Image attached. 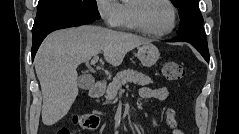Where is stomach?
Here are the masks:
<instances>
[{"label":"stomach","instance_id":"0dacf381","mask_svg":"<svg viewBox=\"0 0 239 134\" xmlns=\"http://www.w3.org/2000/svg\"><path fill=\"white\" fill-rule=\"evenodd\" d=\"M137 56L143 66L151 67L158 61L160 53L158 48L149 42L138 48Z\"/></svg>","mask_w":239,"mask_h":134}]
</instances>
